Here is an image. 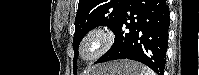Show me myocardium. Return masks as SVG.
<instances>
[{
	"label": "myocardium",
	"mask_w": 199,
	"mask_h": 75,
	"mask_svg": "<svg viewBox=\"0 0 199 75\" xmlns=\"http://www.w3.org/2000/svg\"><path fill=\"white\" fill-rule=\"evenodd\" d=\"M98 43V49L90 56L84 55V46L90 41ZM115 43L114 31L108 26H97L88 31L81 39L78 48L79 58L84 62H94L106 54Z\"/></svg>",
	"instance_id": "myocardium-1"
}]
</instances>
